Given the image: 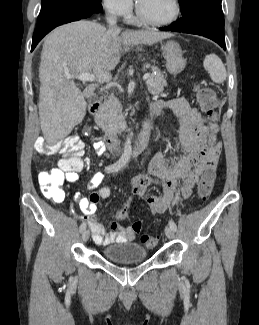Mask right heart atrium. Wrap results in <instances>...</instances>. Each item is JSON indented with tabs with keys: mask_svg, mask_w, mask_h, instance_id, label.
Returning <instances> with one entry per match:
<instances>
[{
	"mask_svg": "<svg viewBox=\"0 0 259 325\" xmlns=\"http://www.w3.org/2000/svg\"><path fill=\"white\" fill-rule=\"evenodd\" d=\"M103 7L111 14L126 16L131 13L133 0H101Z\"/></svg>",
	"mask_w": 259,
	"mask_h": 325,
	"instance_id": "1",
	"label": "right heart atrium"
}]
</instances>
